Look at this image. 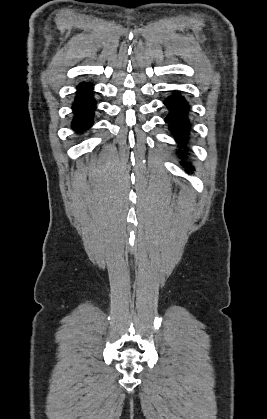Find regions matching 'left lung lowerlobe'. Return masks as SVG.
<instances>
[{
    "label": "left lung lower lobe",
    "mask_w": 267,
    "mask_h": 419,
    "mask_svg": "<svg viewBox=\"0 0 267 419\" xmlns=\"http://www.w3.org/2000/svg\"><path fill=\"white\" fill-rule=\"evenodd\" d=\"M163 103L168 109L165 122L169 124V130L178 144L186 145L189 141L191 130V121L189 119L190 106L188 102L178 91H174ZM178 153L180 157H185L187 150L179 151ZM182 164L186 169H193L187 162L183 161Z\"/></svg>",
    "instance_id": "left-lung-lower-lobe-1"
}]
</instances>
